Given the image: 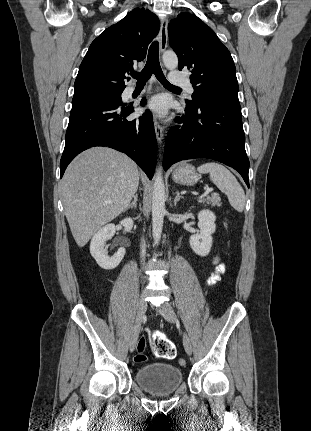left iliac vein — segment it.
Listing matches in <instances>:
<instances>
[{
  "instance_id": "obj_1",
  "label": "left iliac vein",
  "mask_w": 311,
  "mask_h": 431,
  "mask_svg": "<svg viewBox=\"0 0 311 431\" xmlns=\"http://www.w3.org/2000/svg\"><path fill=\"white\" fill-rule=\"evenodd\" d=\"M157 311L170 323L176 322V315L175 312L171 306L170 303L165 302L163 303L159 308H157ZM183 346L188 355L192 354V344L190 341V338L187 334L183 335Z\"/></svg>"
}]
</instances>
